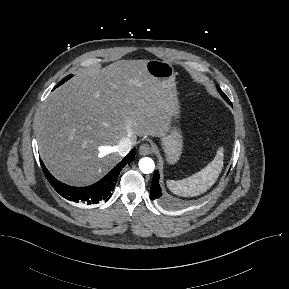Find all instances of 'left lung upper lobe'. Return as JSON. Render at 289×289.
Returning a JSON list of instances; mask_svg holds the SVG:
<instances>
[{
  "label": "left lung upper lobe",
  "mask_w": 289,
  "mask_h": 289,
  "mask_svg": "<svg viewBox=\"0 0 289 289\" xmlns=\"http://www.w3.org/2000/svg\"><path fill=\"white\" fill-rule=\"evenodd\" d=\"M218 91L220 92L221 96L223 98H226V95L223 93V91L217 86Z\"/></svg>",
  "instance_id": "obj_1"
}]
</instances>
